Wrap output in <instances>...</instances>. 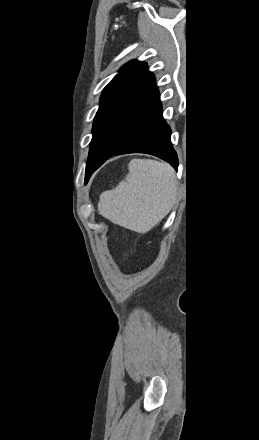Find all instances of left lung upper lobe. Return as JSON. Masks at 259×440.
Listing matches in <instances>:
<instances>
[{
	"mask_svg": "<svg viewBox=\"0 0 259 440\" xmlns=\"http://www.w3.org/2000/svg\"><path fill=\"white\" fill-rule=\"evenodd\" d=\"M146 63L132 61L104 88L100 106L92 128V140L86 165L85 180L88 181L97 158L114 134L116 128L134 106L153 80Z\"/></svg>",
	"mask_w": 259,
	"mask_h": 440,
	"instance_id": "left-lung-upper-lobe-1",
	"label": "left lung upper lobe"
}]
</instances>
